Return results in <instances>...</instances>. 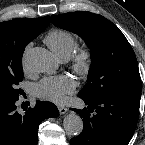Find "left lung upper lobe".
I'll use <instances>...</instances> for the list:
<instances>
[{"label": "left lung upper lobe", "instance_id": "obj_1", "mask_svg": "<svg viewBox=\"0 0 145 145\" xmlns=\"http://www.w3.org/2000/svg\"><path fill=\"white\" fill-rule=\"evenodd\" d=\"M61 29L78 34L91 53L87 84L79 92L87 98H102L116 93L141 92V78L134 51L126 37L111 21L90 12L52 15Z\"/></svg>", "mask_w": 145, "mask_h": 145}]
</instances>
